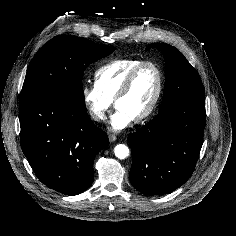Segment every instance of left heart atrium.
<instances>
[{"label":"left heart atrium","instance_id":"1","mask_svg":"<svg viewBox=\"0 0 236 236\" xmlns=\"http://www.w3.org/2000/svg\"><path fill=\"white\" fill-rule=\"evenodd\" d=\"M132 121L133 117L130 114L122 108L117 107L110 118L109 127L113 131H120L129 126Z\"/></svg>","mask_w":236,"mask_h":236}]
</instances>
